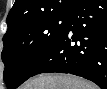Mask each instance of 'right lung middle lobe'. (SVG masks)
Here are the masks:
<instances>
[{"mask_svg": "<svg viewBox=\"0 0 107 89\" xmlns=\"http://www.w3.org/2000/svg\"><path fill=\"white\" fill-rule=\"evenodd\" d=\"M70 12L40 16L8 26L3 37V78L16 88L35 75L69 24Z\"/></svg>", "mask_w": 107, "mask_h": 89, "instance_id": "dd1d6c3e", "label": "right lung middle lobe"}]
</instances>
